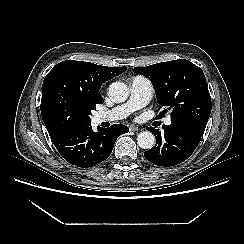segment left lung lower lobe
I'll use <instances>...</instances> for the list:
<instances>
[{
	"label": "left lung lower lobe",
	"mask_w": 244,
	"mask_h": 244,
	"mask_svg": "<svg viewBox=\"0 0 244 244\" xmlns=\"http://www.w3.org/2000/svg\"><path fill=\"white\" fill-rule=\"evenodd\" d=\"M164 133L149 127L157 139L156 145L144 152V157L158 166H175L191 156L203 131L192 126L171 123L163 126Z\"/></svg>",
	"instance_id": "0a47b994"
}]
</instances>
